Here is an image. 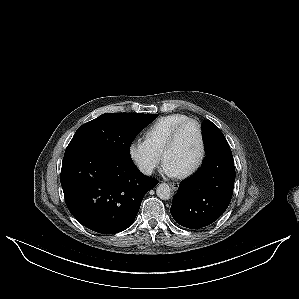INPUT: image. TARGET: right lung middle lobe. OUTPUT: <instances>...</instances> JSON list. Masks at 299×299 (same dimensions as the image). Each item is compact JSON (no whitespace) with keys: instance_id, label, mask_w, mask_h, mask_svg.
Returning a JSON list of instances; mask_svg holds the SVG:
<instances>
[{"instance_id":"right-lung-middle-lobe-1","label":"right lung middle lobe","mask_w":299,"mask_h":299,"mask_svg":"<svg viewBox=\"0 0 299 299\" xmlns=\"http://www.w3.org/2000/svg\"><path fill=\"white\" fill-rule=\"evenodd\" d=\"M155 118L128 113H106L78 128L66 151L73 147H94L130 157L134 138Z\"/></svg>"}]
</instances>
